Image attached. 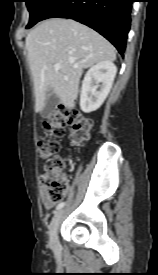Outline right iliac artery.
<instances>
[{
    "label": "right iliac artery",
    "mask_w": 158,
    "mask_h": 275,
    "mask_svg": "<svg viewBox=\"0 0 158 275\" xmlns=\"http://www.w3.org/2000/svg\"><path fill=\"white\" fill-rule=\"evenodd\" d=\"M65 205V202H60L57 207H56V210H60L61 208H63Z\"/></svg>",
    "instance_id": "82829eb1"
}]
</instances>
